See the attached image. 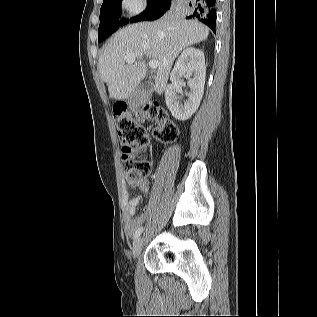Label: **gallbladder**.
<instances>
[{"label":"gallbladder","mask_w":317,"mask_h":317,"mask_svg":"<svg viewBox=\"0 0 317 317\" xmlns=\"http://www.w3.org/2000/svg\"><path fill=\"white\" fill-rule=\"evenodd\" d=\"M152 86H153L152 82L147 81V82H145L144 84L141 85V90H142V92H144L145 94H148V93L151 91ZM139 97H140V96H137L136 98H139Z\"/></svg>","instance_id":"bac80fb5"}]
</instances>
